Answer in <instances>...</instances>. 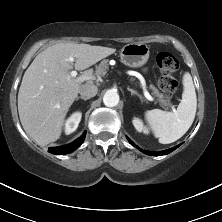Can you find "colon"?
<instances>
[{
    "label": "colon",
    "instance_id": "colon-1",
    "mask_svg": "<svg viewBox=\"0 0 222 222\" xmlns=\"http://www.w3.org/2000/svg\"><path fill=\"white\" fill-rule=\"evenodd\" d=\"M156 65L160 76L158 86L165 96H173L178 91V82L173 77L179 69V61L168 52H160L156 56Z\"/></svg>",
    "mask_w": 222,
    "mask_h": 222
}]
</instances>
